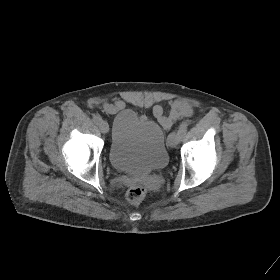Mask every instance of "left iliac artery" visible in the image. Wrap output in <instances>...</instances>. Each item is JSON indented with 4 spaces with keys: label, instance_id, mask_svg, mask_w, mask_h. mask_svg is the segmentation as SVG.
Returning <instances> with one entry per match:
<instances>
[{
    "label": "left iliac artery",
    "instance_id": "1",
    "mask_svg": "<svg viewBox=\"0 0 280 280\" xmlns=\"http://www.w3.org/2000/svg\"><path fill=\"white\" fill-rule=\"evenodd\" d=\"M187 129H188V125L187 123L183 122L180 126H179V129H178V134L182 137L186 134L187 132Z\"/></svg>",
    "mask_w": 280,
    "mask_h": 280
}]
</instances>
